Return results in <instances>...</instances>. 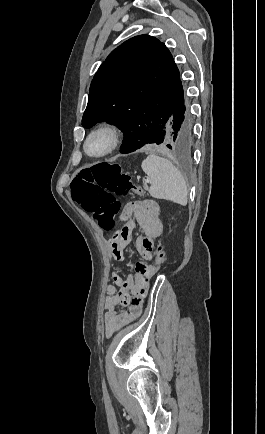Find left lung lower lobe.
Here are the masks:
<instances>
[{
    "instance_id": "1",
    "label": "left lung lower lobe",
    "mask_w": 265,
    "mask_h": 434,
    "mask_svg": "<svg viewBox=\"0 0 265 434\" xmlns=\"http://www.w3.org/2000/svg\"><path fill=\"white\" fill-rule=\"evenodd\" d=\"M192 123L186 114L184 91L174 105L162 117V123L154 128H144L124 138L121 153L134 152L153 144L152 149L165 152L170 149L177 154L190 153L193 146Z\"/></svg>"
}]
</instances>
